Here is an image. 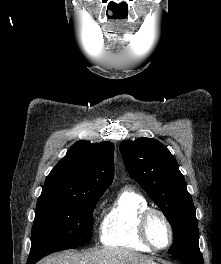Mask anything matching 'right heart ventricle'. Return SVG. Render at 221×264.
Segmentation results:
<instances>
[{"mask_svg":"<svg viewBox=\"0 0 221 264\" xmlns=\"http://www.w3.org/2000/svg\"><path fill=\"white\" fill-rule=\"evenodd\" d=\"M146 198L137 190L125 187L105 210L100 227V241L104 246L149 252L138 234V219L148 208Z\"/></svg>","mask_w":221,"mask_h":264,"instance_id":"obj_1","label":"right heart ventricle"}]
</instances>
